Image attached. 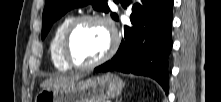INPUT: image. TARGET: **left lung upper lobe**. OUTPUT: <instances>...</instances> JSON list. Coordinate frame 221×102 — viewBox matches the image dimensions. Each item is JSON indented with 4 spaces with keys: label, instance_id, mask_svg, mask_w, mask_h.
I'll use <instances>...</instances> for the list:
<instances>
[{
    "label": "left lung upper lobe",
    "instance_id": "left-lung-upper-lobe-1",
    "mask_svg": "<svg viewBox=\"0 0 221 102\" xmlns=\"http://www.w3.org/2000/svg\"><path fill=\"white\" fill-rule=\"evenodd\" d=\"M89 3L94 4L96 10L109 11L106 0H46L43 11L42 39L47 35L52 24L67 11ZM111 16L113 19L118 20V16L115 13H112Z\"/></svg>",
    "mask_w": 221,
    "mask_h": 102
}]
</instances>
